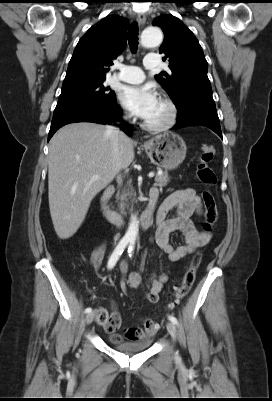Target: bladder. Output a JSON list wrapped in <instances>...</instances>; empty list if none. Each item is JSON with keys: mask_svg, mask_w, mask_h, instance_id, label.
<instances>
[{"mask_svg": "<svg viewBox=\"0 0 272 401\" xmlns=\"http://www.w3.org/2000/svg\"><path fill=\"white\" fill-rule=\"evenodd\" d=\"M151 343L152 340L148 338L134 343H125V342L116 343L115 348L124 353L134 354L145 351L150 347Z\"/></svg>", "mask_w": 272, "mask_h": 401, "instance_id": "obj_1", "label": "bladder"}]
</instances>
